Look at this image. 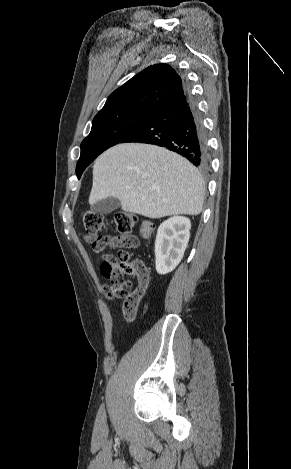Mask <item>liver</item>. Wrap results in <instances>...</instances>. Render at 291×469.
I'll list each match as a JSON object with an SVG mask.
<instances>
[{
	"label": "liver",
	"mask_w": 291,
	"mask_h": 469,
	"mask_svg": "<svg viewBox=\"0 0 291 469\" xmlns=\"http://www.w3.org/2000/svg\"><path fill=\"white\" fill-rule=\"evenodd\" d=\"M205 183L182 156L149 144L115 145L96 160L89 204L115 197L126 212L148 218L202 212Z\"/></svg>",
	"instance_id": "obj_1"
}]
</instances>
